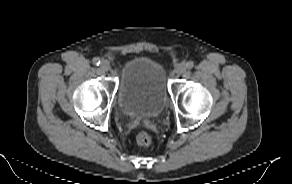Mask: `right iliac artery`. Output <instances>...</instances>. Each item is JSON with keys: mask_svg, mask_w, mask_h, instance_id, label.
I'll list each match as a JSON object with an SVG mask.
<instances>
[{"mask_svg": "<svg viewBox=\"0 0 292 184\" xmlns=\"http://www.w3.org/2000/svg\"><path fill=\"white\" fill-rule=\"evenodd\" d=\"M93 63L95 64V65H99L100 63H101V60H100V58H98V57H95L94 59H93Z\"/></svg>", "mask_w": 292, "mask_h": 184, "instance_id": "82829eb1", "label": "right iliac artery"}]
</instances>
